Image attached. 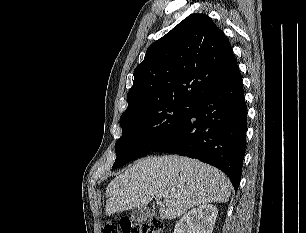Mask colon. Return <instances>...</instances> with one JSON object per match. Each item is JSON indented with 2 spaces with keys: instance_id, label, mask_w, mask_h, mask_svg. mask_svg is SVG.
I'll return each mask as SVG.
<instances>
[{
  "instance_id": "colon-1",
  "label": "colon",
  "mask_w": 306,
  "mask_h": 233,
  "mask_svg": "<svg viewBox=\"0 0 306 233\" xmlns=\"http://www.w3.org/2000/svg\"><path fill=\"white\" fill-rule=\"evenodd\" d=\"M103 233H168L163 221L150 218L141 222L130 219L109 221L103 227Z\"/></svg>"
}]
</instances>
